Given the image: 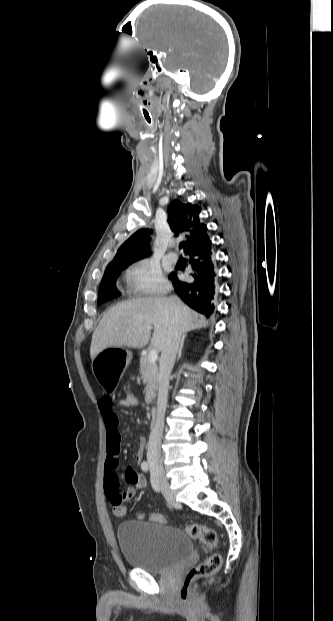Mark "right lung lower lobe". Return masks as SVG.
Wrapping results in <instances>:
<instances>
[{"label":"right lung lower lobe","instance_id":"1","mask_svg":"<svg viewBox=\"0 0 333 621\" xmlns=\"http://www.w3.org/2000/svg\"><path fill=\"white\" fill-rule=\"evenodd\" d=\"M186 255L192 269L190 275L194 281L182 282L175 273L169 276L178 296L191 308L209 317L214 311L216 298V266L211 245L203 249H194Z\"/></svg>","mask_w":333,"mask_h":621}]
</instances>
